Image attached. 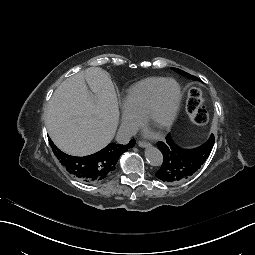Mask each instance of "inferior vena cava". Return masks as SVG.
Segmentation results:
<instances>
[{
    "instance_id": "inferior-vena-cava-1",
    "label": "inferior vena cava",
    "mask_w": 255,
    "mask_h": 255,
    "mask_svg": "<svg viewBox=\"0 0 255 255\" xmlns=\"http://www.w3.org/2000/svg\"><path fill=\"white\" fill-rule=\"evenodd\" d=\"M136 134V128L130 125H121L117 133V141L119 143H127L132 136Z\"/></svg>"
}]
</instances>
